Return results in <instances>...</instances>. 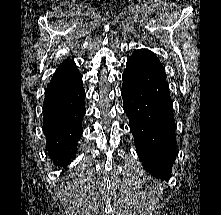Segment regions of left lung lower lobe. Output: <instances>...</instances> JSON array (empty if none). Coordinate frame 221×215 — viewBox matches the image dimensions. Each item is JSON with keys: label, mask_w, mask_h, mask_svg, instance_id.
I'll list each match as a JSON object with an SVG mask.
<instances>
[{"label": "left lung lower lobe", "mask_w": 221, "mask_h": 215, "mask_svg": "<svg viewBox=\"0 0 221 215\" xmlns=\"http://www.w3.org/2000/svg\"><path fill=\"white\" fill-rule=\"evenodd\" d=\"M123 108L139 158L151 175L167 180L177 154L165 69L148 49L134 52L122 76Z\"/></svg>", "instance_id": "left-lung-lower-lobe-1"}]
</instances>
